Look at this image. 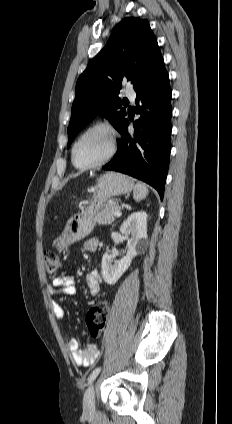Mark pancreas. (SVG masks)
<instances>
[{
    "mask_svg": "<svg viewBox=\"0 0 232 424\" xmlns=\"http://www.w3.org/2000/svg\"><path fill=\"white\" fill-rule=\"evenodd\" d=\"M117 210H119V207L116 205H113V204L105 205L102 209H100L97 212V215L95 216V222L98 225L111 224L116 219L114 212Z\"/></svg>",
    "mask_w": 232,
    "mask_h": 424,
    "instance_id": "obj_1",
    "label": "pancreas"
}]
</instances>
